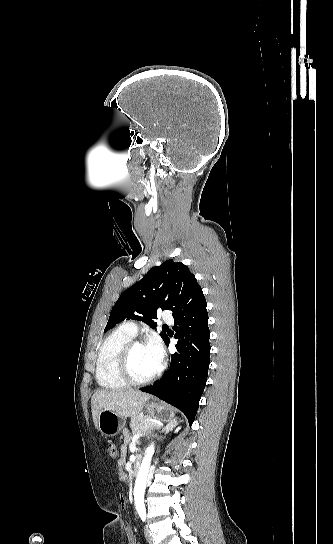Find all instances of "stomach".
Masks as SVG:
<instances>
[{"mask_svg": "<svg viewBox=\"0 0 333 544\" xmlns=\"http://www.w3.org/2000/svg\"><path fill=\"white\" fill-rule=\"evenodd\" d=\"M150 416L162 421H170L174 417V411L164 404L149 403L146 406ZM98 430L104 436H115L124 427L123 418L116 412L102 410L98 418Z\"/></svg>", "mask_w": 333, "mask_h": 544, "instance_id": "1", "label": "stomach"}]
</instances>
